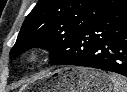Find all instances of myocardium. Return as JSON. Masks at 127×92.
I'll list each match as a JSON object with an SVG mask.
<instances>
[{"label": "myocardium", "instance_id": "obj_1", "mask_svg": "<svg viewBox=\"0 0 127 92\" xmlns=\"http://www.w3.org/2000/svg\"><path fill=\"white\" fill-rule=\"evenodd\" d=\"M44 51L40 48H32L25 51L22 56V62L27 66H33L40 63L44 59Z\"/></svg>", "mask_w": 127, "mask_h": 92}]
</instances>
